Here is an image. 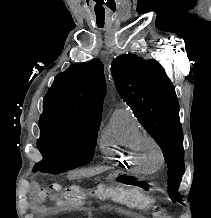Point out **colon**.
I'll list each match as a JSON object with an SVG mask.
<instances>
[{"instance_id": "colon-1", "label": "colon", "mask_w": 211, "mask_h": 218, "mask_svg": "<svg viewBox=\"0 0 211 218\" xmlns=\"http://www.w3.org/2000/svg\"><path fill=\"white\" fill-rule=\"evenodd\" d=\"M47 197L63 202H82L88 197L100 200H111L135 208L153 207L155 198L148 189L138 185H105L96 187H83L71 185L63 188L59 184H51L44 190Z\"/></svg>"}]
</instances>
